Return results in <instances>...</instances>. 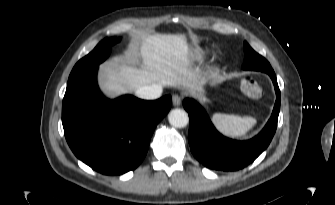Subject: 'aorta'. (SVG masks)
Here are the masks:
<instances>
[{"label": "aorta", "mask_w": 335, "mask_h": 205, "mask_svg": "<svg viewBox=\"0 0 335 205\" xmlns=\"http://www.w3.org/2000/svg\"><path fill=\"white\" fill-rule=\"evenodd\" d=\"M169 123L176 128H183L189 122V117L186 111L182 109H173L168 114Z\"/></svg>", "instance_id": "obj_1"}]
</instances>
